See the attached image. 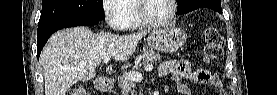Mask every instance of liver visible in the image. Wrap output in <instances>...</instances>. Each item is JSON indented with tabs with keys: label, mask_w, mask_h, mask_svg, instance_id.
<instances>
[{
	"label": "liver",
	"mask_w": 277,
	"mask_h": 95,
	"mask_svg": "<svg viewBox=\"0 0 277 95\" xmlns=\"http://www.w3.org/2000/svg\"><path fill=\"white\" fill-rule=\"evenodd\" d=\"M146 32L128 35L94 34L87 27L60 30L50 37L40 55L45 95H65L77 81L95 77L105 58L123 62L133 55Z\"/></svg>",
	"instance_id": "liver-1"
}]
</instances>
